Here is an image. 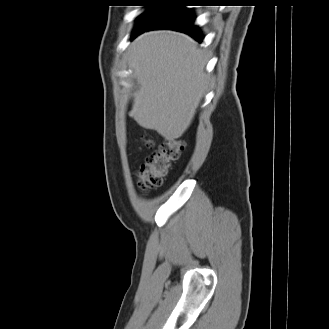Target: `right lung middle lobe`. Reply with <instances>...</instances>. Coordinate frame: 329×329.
<instances>
[{"label":"right lung middle lobe","instance_id":"1","mask_svg":"<svg viewBox=\"0 0 329 329\" xmlns=\"http://www.w3.org/2000/svg\"><path fill=\"white\" fill-rule=\"evenodd\" d=\"M143 3H157V4H150V8L146 9L139 17H138V23L135 29L137 28H143L147 25H150L153 23L169 6L170 4L166 3H172L168 1L173 0H142ZM165 1V2H160ZM167 1V2H166Z\"/></svg>","mask_w":329,"mask_h":329}]
</instances>
